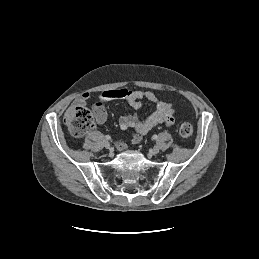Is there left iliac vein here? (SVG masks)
I'll use <instances>...</instances> for the list:
<instances>
[{"label": "left iliac vein", "mask_w": 259, "mask_h": 259, "mask_svg": "<svg viewBox=\"0 0 259 259\" xmlns=\"http://www.w3.org/2000/svg\"><path fill=\"white\" fill-rule=\"evenodd\" d=\"M152 154H157L159 153V147L158 146H154L151 150Z\"/></svg>", "instance_id": "4c4485c4"}]
</instances>
